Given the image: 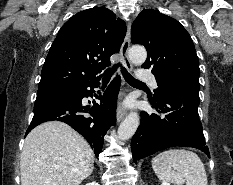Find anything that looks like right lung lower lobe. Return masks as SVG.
<instances>
[{"instance_id":"1","label":"right lung lower lobe","mask_w":233,"mask_h":185,"mask_svg":"<svg viewBox=\"0 0 233 185\" xmlns=\"http://www.w3.org/2000/svg\"><path fill=\"white\" fill-rule=\"evenodd\" d=\"M120 82V77H115L104 95L98 97L100 104L92 107L84 106L82 99L88 96L93 97L94 88L99 86V80L66 88L38 90L34 116L26 135L43 122L62 121L83 135L94 148L97 156L102 150L104 135L116 122V103Z\"/></svg>"}]
</instances>
